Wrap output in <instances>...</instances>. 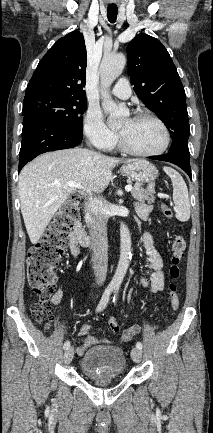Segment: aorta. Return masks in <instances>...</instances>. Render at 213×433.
I'll return each instance as SVG.
<instances>
[{"label": "aorta", "instance_id": "1", "mask_svg": "<svg viewBox=\"0 0 213 433\" xmlns=\"http://www.w3.org/2000/svg\"><path fill=\"white\" fill-rule=\"evenodd\" d=\"M126 64L123 54L104 55L100 65V75L102 83V107L109 114L110 126H116L126 109L117 105L108 93V88L112 82L122 73ZM131 236L128 227L120 225V258L115 274L110 282V286L118 289L124 279L131 260Z\"/></svg>", "mask_w": 213, "mask_h": 433}]
</instances>
